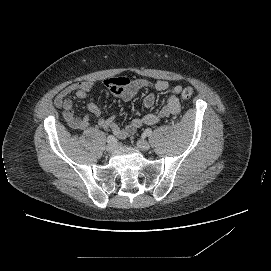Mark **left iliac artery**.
I'll return each instance as SVG.
<instances>
[{
    "mask_svg": "<svg viewBox=\"0 0 271 271\" xmlns=\"http://www.w3.org/2000/svg\"><path fill=\"white\" fill-rule=\"evenodd\" d=\"M152 134V130L150 128H147L145 131H144V135L145 136H150Z\"/></svg>",
    "mask_w": 271,
    "mask_h": 271,
    "instance_id": "left-iliac-artery-1",
    "label": "left iliac artery"
}]
</instances>
